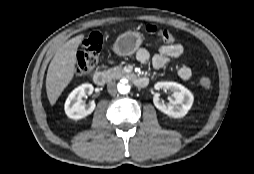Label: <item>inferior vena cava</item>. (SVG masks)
Returning a JSON list of instances; mask_svg holds the SVG:
<instances>
[{"instance_id": "1", "label": "inferior vena cava", "mask_w": 254, "mask_h": 174, "mask_svg": "<svg viewBox=\"0 0 254 174\" xmlns=\"http://www.w3.org/2000/svg\"><path fill=\"white\" fill-rule=\"evenodd\" d=\"M107 90L111 95H116L117 93V85L115 81H111L107 85Z\"/></svg>"}]
</instances>
